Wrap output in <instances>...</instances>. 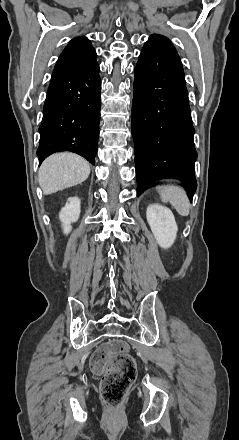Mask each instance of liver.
Returning a JSON list of instances; mask_svg holds the SVG:
<instances>
[{
  "instance_id": "liver-1",
  "label": "liver",
  "mask_w": 239,
  "mask_h": 440,
  "mask_svg": "<svg viewBox=\"0 0 239 440\" xmlns=\"http://www.w3.org/2000/svg\"><path fill=\"white\" fill-rule=\"evenodd\" d=\"M89 174L90 166L84 158L70 152H61L44 160L39 168L38 182L43 194L48 196L85 182Z\"/></svg>"
}]
</instances>
